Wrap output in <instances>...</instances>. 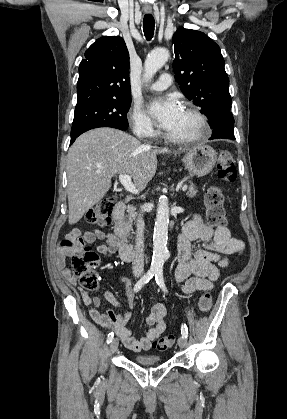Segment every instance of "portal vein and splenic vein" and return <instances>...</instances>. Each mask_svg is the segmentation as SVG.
<instances>
[{
    "label": "portal vein and splenic vein",
    "mask_w": 287,
    "mask_h": 419,
    "mask_svg": "<svg viewBox=\"0 0 287 419\" xmlns=\"http://www.w3.org/2000/svg\"><path fill=\"white\" fill-rule=\"evenodd\" d=\"M119 181L120 183L124 186V188L128 191L131 192L133 194H138L139 191L137 190V188L135 187V185L133 184L132 180H131V176L128 174H120L119 175ZM187 190V185H184L182 187V191H186Z\"/></svg>",
    "instance_id": "1"
}]
</instances>
